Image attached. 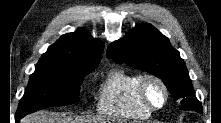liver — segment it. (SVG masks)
Returning a JSON list of instances; mask_svg holds the SVG:
<instances>
[{
  "label": "liver",
  "instance_id": "liver-1",
  "mask_svg": "<svg viewBox=\"0 0 221 123\" xmlns=\"http://www.w3.org/2000/svg\"><path fill=\"white\" fill-rule=\"evenodd\" d=\"M95 120L89 118L74 119L72 117L60 118L54 113L50 112H37L24 117L21 123H91ZM120 123V121H118Z\"/></svg>",
  "mask_w": 221,
  "mask_h": 123
}]
</instances>
